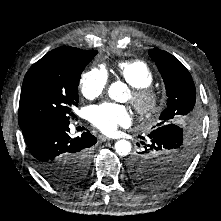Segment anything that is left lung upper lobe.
I'll return each mask as SVG.
<instances>
[{
    "label": "left lung upper lobe",
    "instance_id": "1",
    "mask_svg": "<svg viewBox=\"0 0 221 221\" xmlns=\"http://www.w3.org/2000/svg\"><path fill=\"white\" fill-rule=\"evenodd\" d=\"M166 86L167 108L160 116L158 128L148 137L149 144L138 152L143 169L131 172L133 181L145 188L158 189L176 181L191 160V147L183 143V129L173 124L177 119L186 123L196 120V90L186 67L173 55L159 49H150Z\"/></svg>",
    "mask_w": 221,
    "mask_h": 221
}]
</instances>
